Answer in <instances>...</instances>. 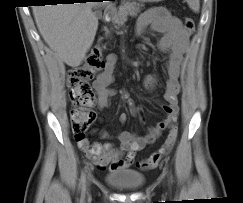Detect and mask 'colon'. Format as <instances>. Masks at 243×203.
<instances>
[{"mask_svg":"<svg viewBox=\"0 0 243 203\" xmlns=\"http://www.w3.org/2000/svg\"><path fill=\"white\" fill-rule=\"evenodd\" d=\"M184 25L189 34L194 32L195 23L192 18L186 17ZM103 50L102 44L96 45L88 54L86 62L83 65L71 68L67 74L69 97L72 104L70 111L71 130L78 143L86 140L87 132L96 119V113L92 109L95 94L91 81L96 72L105 67ZM177 135V127L173 126L164 144L148 158L139 161L137 166L144 170L157 167L173 149Z\"/></svg>","mask_w":243,"mask_h":203,"instance_id":"colon-1","label":"colon"}]
</instances>
